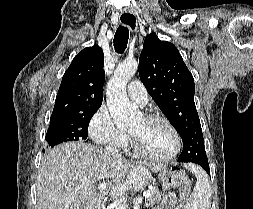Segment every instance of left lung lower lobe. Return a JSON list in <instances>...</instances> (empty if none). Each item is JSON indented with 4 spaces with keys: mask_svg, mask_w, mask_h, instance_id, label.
<instances>
[{
    "mask_svg": "<svg viewBox=\"0 0 253 209\" xmlns=\"http://www.w3.org/2000/svg\"><path fill=\"white\" fill-rule=\"evenodd\" d=\"M196 164H198V165H200L202 168H204L205 169V171L208 173V174H210V169H209V164H208V160H197L196 162H195Z\"/></svg>",
    "mask_w": 253,
    "mask_h": 209,
    "instance_id": "0a47b994",
    "label": "left lung lower lobe"
}]
</instances>
